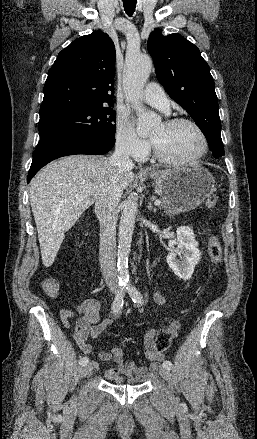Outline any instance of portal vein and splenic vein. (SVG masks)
Segmentation results:
<instances>
[{
    "instance_id": "portal-vein-and-splenic-vein-1",
    "label": "portal vein and splenic vein",
    "mask_w": 257,
    "mask_h": 439,
    "mask_svg": "<svg viewBox=\"0 0 257 439\" xmlns=\"http://www.w3.org/2000/svg\"><path fill=\"white\" fill-rule=\"evenodd\" d=\"M77 199H78V200H83V199H85V196H78ZM160 204H161V201H160V200H155V201H154V205H155V206H159Z\"/></svg>"
}]
</instances>
